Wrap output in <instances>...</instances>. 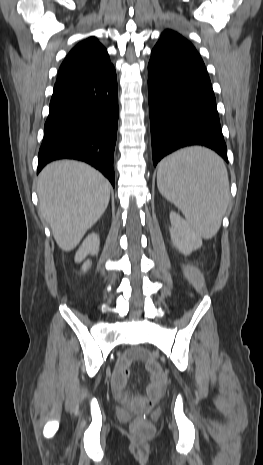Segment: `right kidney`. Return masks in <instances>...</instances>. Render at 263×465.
Masks as SVG:
<instances>
[{
  "label": "right kidney",
  "mask_w": 263,
  "mask_h": 465,
  "mask_svg": "<svg viewBox=\"0 0 263 465\" xmlns=\"http://www.w3.org/2000/svg\"><path fill=\"white\" fill-rule=\"evenodd\" d=\"M100 239L99 236L95 233L89 234L82 245L79 247L78 251L75 254V262L80 263L85 260L88 255H97L99 252ZM91 266V262L88 260L84 262L82 266L83 272H86Z\"/></svg>",
  "instance_id": "ca27d5eb"
}]
</instances>
